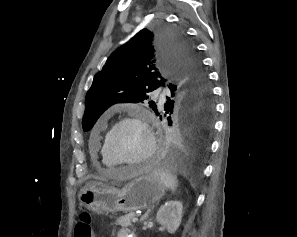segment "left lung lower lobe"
Masks as SVG:
<instances>
[{
	"mask_svg": "<svg viewBox=\"0 0 297 237\" xmlns=\"http://www.w3.org/2000/svg\"><path fill=\"white\" fill-rule=\"evenodd\" d=\"M172 97L174 93L170 92L164 114L175 113L176 123L167 131L158 158L163 165L195 168L207 153L213 129L214 105L212 100L198 107L191 103L177 104Z\"/></svg>",
	"mask_w": 297,
	"mask_h": 237,
	"instance_id": "obj_1",
	"label": "left lung lower lobe"
}]
</instances>
